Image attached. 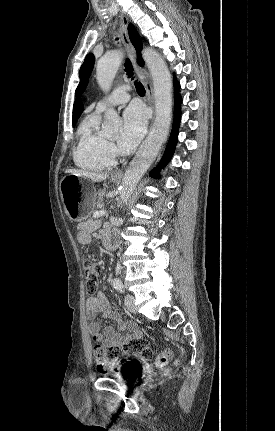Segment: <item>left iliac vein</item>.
I'll return each instance as SVG.
<instances>
[{"instance_id": "4c4485c4", "label": "left iliac vein", "mask_w": 275, "mask_h": 431, "mask_svg": "<svg viewBox=\"0 0 275 431\" xmlns=\"http://www.w3.org/2000/svg\"><path fill=\"white\" fill-rule=\"evenodd\" d=\"M125 306L127 308L128 311L132 312V313H136V309L134 306V297L132 295H126L125 296Z\"/></svg>"}]
</instances>
